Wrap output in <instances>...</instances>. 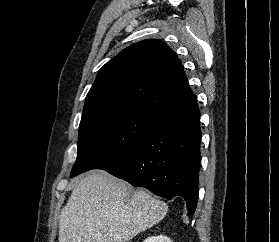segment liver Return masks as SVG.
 I'll return each instance as SVG.
<instances>
[{
    "label": "liver",
    "instance_id": "obj_1",
    "mask_svg": "<svg viewBox=\"0 0 279 242\" xmlns=\"http://www.w3.org/2000/svg\"><path fill=\"white\" fill-rule=\"evenodd\" d=\"M59 216V242H127L161 221L165 202L104 171L75 179Z\"/></svg>",
    "mask_w": 279,
    "mask_h": 242
}]
</instances>
